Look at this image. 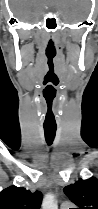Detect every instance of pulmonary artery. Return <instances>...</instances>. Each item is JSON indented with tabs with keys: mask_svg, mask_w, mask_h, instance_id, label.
I'll use <instances>...</instances> for the list:
<instances>
[{
	"mask_svg": "<svg viewBox=\"0 0 98 209\" xmlns=\"http://www.w3.org/2000/svg\"><path fill=\"white\" fill-rule=\"evenodd\" d=\"M70 203L69 202H63L61 204V209H69L70 208Z\"/></svg>",
	"mask_w": 98,
	"mask_h": 209,
	"instance_id": "e3ab8cb5",
	"label": "pulmonary artery"
}]
</instances>
